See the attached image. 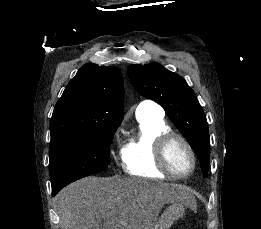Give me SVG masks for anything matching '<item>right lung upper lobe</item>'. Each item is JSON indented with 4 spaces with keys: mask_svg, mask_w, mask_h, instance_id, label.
<instances>
[{
    "mask_svg": "<svg viewBox=\"0 0 261 229\" xmlns=\"http://www.w3.org/2000/svg\"><path fill=\"white\" fill-rule=\"evenodd\" d=\"M124 88L113 66L83 65L57 101L50 121V146L96 126L120 125Z\"/></svg>",
    "mask_w": 261,
    "mask_h": 229,
    "instance_id": "cb5924a9",
    "label": "right lung upper lobe"
}]
</instances>
